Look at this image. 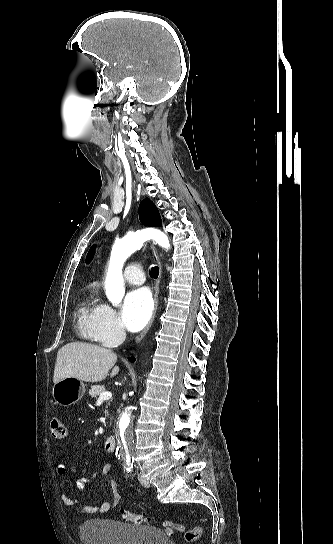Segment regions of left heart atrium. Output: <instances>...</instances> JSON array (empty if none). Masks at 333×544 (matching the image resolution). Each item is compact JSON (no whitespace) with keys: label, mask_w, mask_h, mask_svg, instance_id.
<instances>
[{"label":"left heart atrium","mask_w":333,"mask_h":544,"mask_svg":"<svg viewBox=\"0 0 333 544\" xmlns=\"http://www.w3.org/2000/svg\"><path fill=\"white\" fill-rule=\"evenodd\" d=\"M153 309L151 293L146 288L131 291L124 300L122 320L132 332L142 329L150 319Z\"/></svg>","instance_id":"39dd6f15"}]
</instances>
